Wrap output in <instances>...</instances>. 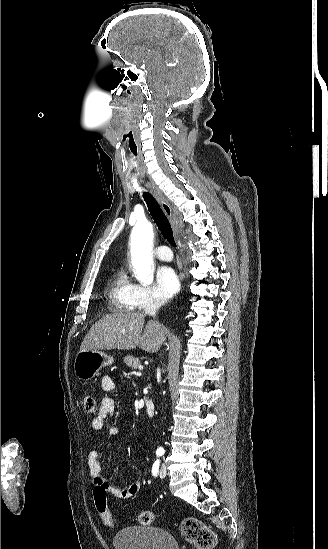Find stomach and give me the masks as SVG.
I'll return each mask as SVG.
<instances>
[{
  "mask_svg": "<svg viewBox=\"0 0 328 549\" xmlns=\"http://www.w3.org/2000/svg\"><path fill=\"white\" fill-rule=\"evenodd\" d=\"M113 357L100 351H79L75 357L74 373L80 381H90L102 367L113 365Z\"/></svg>",
  "mask_w": 328,
  "mask_h": 549,
  "instance_id": "0dacf381",
  "label": "stomach"
}]
</instances>
